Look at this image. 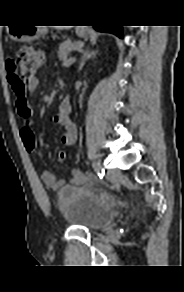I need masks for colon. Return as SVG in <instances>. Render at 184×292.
<instances>
[{"label": "colon", "instance_id": "colon-1", "mask_svg": "<svg viewBox=\"0 0 184 292\" xmlns=\"http://www.w3.org/2000/svg\"><path fill=\"white\" fill-rule=\"evenodd\" d=\"M43 63V53L28 46L18 49L7 61L9 81L18 90L21 95L22 102L31 113H34V89L29 87V83L35 77L37 71L42 67ZM22 141L28 152H37L33 131L25 130L22 133ZM64 158L65 153L62 151L57 152L52 157V159L57 162L63 161Z\"/></svg>", "mask_w": 184, "mask_h": 292}]
</instances>
